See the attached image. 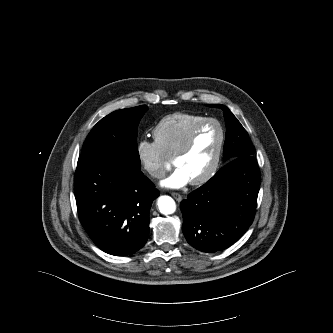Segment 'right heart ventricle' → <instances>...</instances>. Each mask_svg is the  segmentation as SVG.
<instances>
[{"instance_id":"e07e8e85","label":"right heart ventricle","mask_w":333,"mask_h":333,"mask_svg":"<svg viewBox=\"0 0 333 333\" xmlns=\"http://www.w3.org/2000/svg\"><path fill=\"white\" fill-rule=\"evenodd\" d=\"M206 117L177 112L163 117L153 128L154 141L164 155H174L190 130Z\"/></svg>"}]
</instances>
